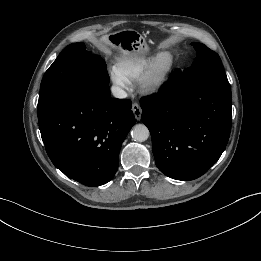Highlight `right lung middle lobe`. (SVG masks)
I'll return each instance as SVG.
<instances>
[{
  "mask_svg": "<svg viewBox=\"0 0 261 261\" xmlns=\"http://www.w3.org/2000/svg\"><path fill=\"white\" fill-rule=\"evenodd\" d=\"M109 85L105 61L86 50L85 45L67 46L43 76L38 114L61 97L80 88H103Z\"/></svg>",
  "mask_w": 261,
  "mask_h": 261,
  "instance_id": "1",
  "label": "right lung middle lobe"
}]
</instances>
